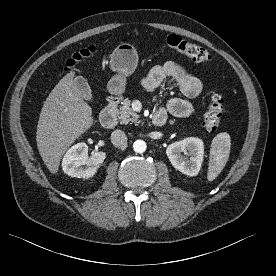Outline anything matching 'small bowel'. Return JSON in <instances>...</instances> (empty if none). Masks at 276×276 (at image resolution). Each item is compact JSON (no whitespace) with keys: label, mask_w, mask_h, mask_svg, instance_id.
<instances>
[{"label":"small bowel","mask_w":276,"mask_h":276,"mask_svg":"<svg viewBox=\"0 0 276 276\" xmlns=\"http://www.w3.org/2000/svg\"><path fill=\"white\" fill-rule=\"evenodd\" d=\"M169 80L176 82L181 92L189 98L198 96L202 89L201 82L174 61H166L154 66L143 77L141 85L145 91L153 93L163 82ZM159 111H163L165 114L169 112L176 117H187L194 112V105L187 99L176 97L171 98L166 106Z\"/></svg>","instance_id":"obj_1"}]
</instances>
